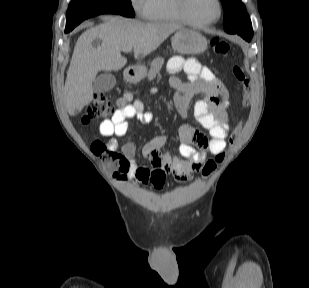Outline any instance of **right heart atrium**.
I'll use <instances>...</instances> for the list:
<instances>
[{"label": "right heart atrium", "instance_id": "right-heart-atrium-1", "mask_svg": "<svg viewBox=\"0 0 309 288\" xmlns=\"http://www.w3.org/2000/svg\"><path fill=\"white\" fill-rule=\"evenodd\" d=\"M132 8L140 15H144L147 0H130Z\"/></svg>", "mask_w": 309, "mask_h": 288}]
</instances>
